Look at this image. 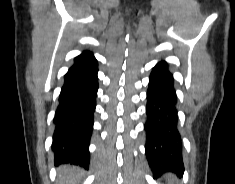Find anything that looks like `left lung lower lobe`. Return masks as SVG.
Returning a JSON list of instances; mask_svg holds the SVG:
<instances>
[{"label":"left lung lower lobe","instance_id":"obj_1","mask_svg":"<svg viewBox=\"0 0 235 184\" xmlns=\"http://www.w3.org/2000/svg\"><path fill=\"white\" fill-rule=\"evenodd\" d=\"M147 120L145 123V152L155 173L171 171L183 176L181 139L177 129L176 96L172 74L166 62L152 70L147 91Z\"/></svg>","mask_w":235,"mask_h":184}]
</instances>
